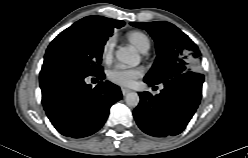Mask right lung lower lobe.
Here are the masks:
<instances>
[{"instance_id":"98d812e1","label":"right lung lower lobe","mask_w":248,"mask_h":158,"mask_svg":"<svg viewBox=\"0 0 248 158\" xmlns=\"http://www.w3.org/2000/svg\"><path fill=\"white\" fill-rule=\"evenodd\" d=\"M88 76L104 79L103 71L92 75L61 69L40 72L44 109L64 136L82 138L97 132L105 123L110 107L122 98L115 84L100 81L92 88L85 83Z\"/></svg>"}]
</instances>
